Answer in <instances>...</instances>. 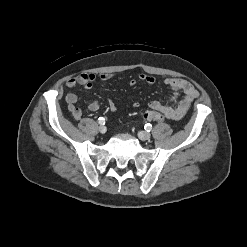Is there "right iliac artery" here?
Instances as JSON below:
<instances>
[{
	"mask_svg": "<svg viewBox=\"0 0 247 247\" xmlns=\"http://www.w3.org/2000/svg\"><path fill=\"white\" fill-rule=\"evenodd\" d=\"M98 123H99L100 125H104V124H105V119H104L103 117H100V118L98 119Z\"/></svg>",
	"mask_w": 247,
	"mask_h": 247,
	"instance_id": "1",
	"label": "right iliac artery"
}]
</instances>
